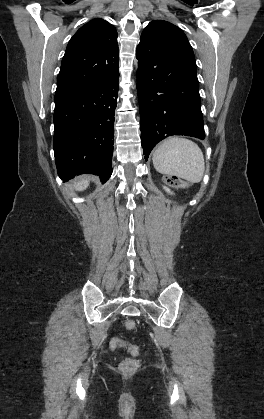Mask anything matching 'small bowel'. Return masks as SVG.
Wrapping results in <instances>:
<instances>
[{"label":"small bowel","instance_id":"1","mask_svg":"<svg viewBox=\"0 0 264 419\" xmlns=\"http://www.w3.org/2000/svg\"><path fill=\"white\" fill-rule=\"evenodd\" d=\"M119 339L118 338H115V339H113L112 341H111V348L112 349H116L117 347L115 346V343L118 341Z\"/></svg>","mask_w":264,"mask_h":419}]
</instances>
